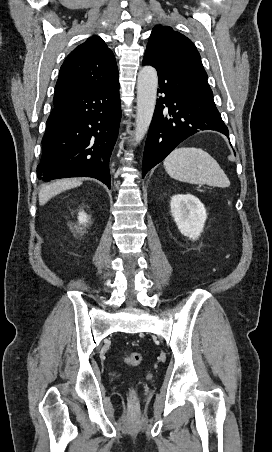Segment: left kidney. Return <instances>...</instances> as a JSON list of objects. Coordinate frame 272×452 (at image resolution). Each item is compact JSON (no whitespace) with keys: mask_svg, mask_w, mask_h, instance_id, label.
I'll return each instance as SVG.
<instances>
[{"mask_svg":"<svg viewBox=\"0 0 272 452\" xmlns=\"http://www.w3.org/2000/svg\"><path fill=\"white\" fill-rule=\"evenodd\" d=\"M171 214L182 235L196 240L207 219L203 203L192 194H177L170 200Z\"/></svg>","mask_w":272,"mask_h":452,"instance_id":"left-kidney-1","label":"left kidney"}]
</instances>
